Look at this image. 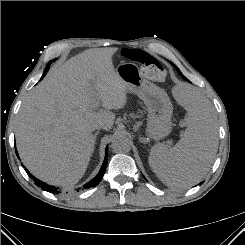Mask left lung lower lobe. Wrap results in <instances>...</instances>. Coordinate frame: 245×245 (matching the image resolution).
<instances>
[{"label":"left lung lower lobe","mask_w":245,"mask_h":245,"mask_svg":"<svg viewBox=\"0 0 245 245\" xmlns=\"http://www.w3.org/2000/svg\"><path fill=\"white\" fill-rule=\"evenodd\" d=\"M175 66V65H174ZM175 68H176V66H175ZM185 80H187L188 81V79H186L185 77H183ZM200 184H202V182L200 183Z\"/></svg>","instance_id":"obj_1"}]
</instances>
